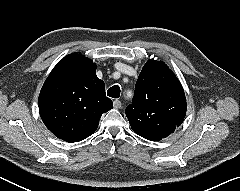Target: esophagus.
Returning <instances> with one entry per match:
<instances>
[{"instance_id": "34e87169", "label": "esophagus", "mask_w": 240, "mask_h": 191, "mask_svg": "<svg viewBox=\"0 0 240 191\" xmlns=\"http://www.w3.org/2000/svg\"><path fill=\"white\" fill-rule=\"evenodd\" d=\"M113 106H114V108L119 109V108H121L122 103L120 100H114Z\"/></svg>"}]
</instances>
